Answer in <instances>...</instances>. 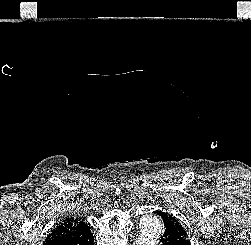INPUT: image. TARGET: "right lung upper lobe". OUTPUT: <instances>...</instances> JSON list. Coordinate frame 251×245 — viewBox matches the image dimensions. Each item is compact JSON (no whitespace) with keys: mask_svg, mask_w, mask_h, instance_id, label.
I'll use <instances>...</instances> for the list:
<instances>
[{"mask_svg":"<svg viewBox=\"0 0 251 245\" xmlns=\"http://www.w3.org/2000/svg\"><path fill=\"white\" fill-rule=\"evenodd\" d=\"M88 225L75 217H67L56 224V227L48 235V238L70 235L82 232L87 229Z\"/></svg>","mask_w":251,"mask_h":245,"instance_id":"cb5924a9","label":"right lung upper lobe"}]
</instances>
